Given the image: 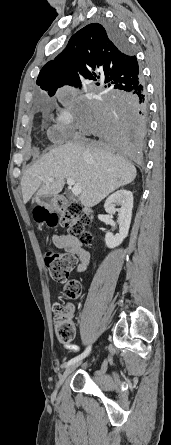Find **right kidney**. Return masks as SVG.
<instances>
[{"label":"right kidney","instance_id":"right-kidney-1","mask_svg":"<svg viewBox=\"0 0 171 445\" xmlns=\"http://www.w3.org/2000/svg\"><path fill=\"white\" fill-rule=\"evenodd\" d=\"M116 204L121 207L117 209ZM104 208L110 216L118 211L119 233L113 235L111 232H107L105 235V243L108 248L112 249L119 246L128 235L133 209L132 192L125 189L114 192L105 201Z\"/></svg>","mask_w":171,"mask_h":445}]
</instances>
